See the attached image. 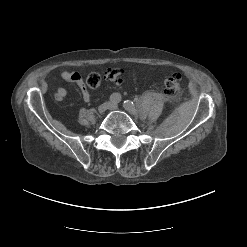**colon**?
Masks as SVG:
<instances>
[{"instance_id": "obj_1", "label": "colon", "mask_w": 247, "mask_h": 247, "mask_svg": "<svg viewBox=\"0 0 247 247\" xmlns=\"http://www.w3.org/2000/svg\"><path fill=\"white\" fill-rule=\"evenodd\" d=\"M106 77L109 80L115 79L117 77L116 69H108L106 72ZM181 75L176 72H170L162 84L163 92L170 97H176L181 91ZM101 77L96 73L89 74L86 78V85L90 89H97L100 86Z\"/></svg>"}]
</instances>
